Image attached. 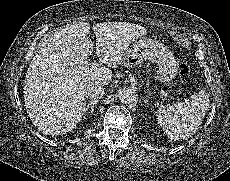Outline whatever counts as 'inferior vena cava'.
Segmentation results:
<instances>
[{
  "instance_id": "inferior-vena-cava-1",
  "label": "inferior vena cava",
  "mask_w": 230,
  "mask_h": 181,
  "mask_svg": "<svg viewBox=\"0 0 230 181\" xmlns=\"http://www.w3.org/2000/svg\"><path fill=\"white\" fill-rule=\"evenodd\" d=\"M105 94V88L102 85H95L89 87L85 92V97L92 100L98 101Z\"/></svg>"
}]
</instances>
